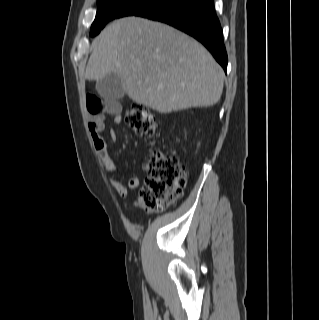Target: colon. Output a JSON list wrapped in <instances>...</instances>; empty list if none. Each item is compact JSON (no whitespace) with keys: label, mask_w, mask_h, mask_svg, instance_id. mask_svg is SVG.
<instances>
[{"label":"colon","mask_w":319,"mask_h":320,"mask_svg":"<svg viewBox=\"0 0 319 320\" xmlns=\"http://www.w3.org/2000/svg\"><path fill=\"white\" fill-rule=\"evenodd\" d=\"M126 123L142 139L156 134L154 114L142 104H132L125 110ZM146 180L139 193V205L149 213L164 210L182 195L186 169L174 154L153 150L145 160Z\"/></svg>","instance_id":"1"}]
</instances>
